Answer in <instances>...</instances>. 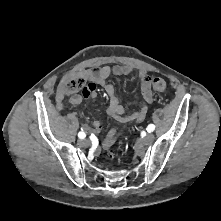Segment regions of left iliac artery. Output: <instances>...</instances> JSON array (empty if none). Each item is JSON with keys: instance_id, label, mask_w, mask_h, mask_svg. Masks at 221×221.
<instances>
[{"instance_id": "left-iliac-artery-1", "label": "left iliac artery", "mask_w": 221, "mask_h": 221, "mask_svg": "<svg viewBox=\"0 0 221 221\" xmlns=\"http://www.w3.org/2000/svg\"><path fill=\"white\" fill-rule=\"evenodd\" d=\"M154 130H155V125L150 124V125L147 126V131L148 132H153Z\"/></svg>"}]
</instances>
